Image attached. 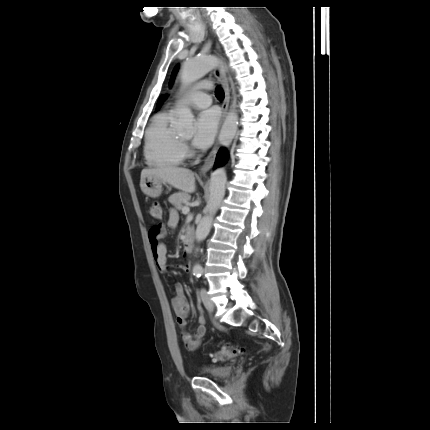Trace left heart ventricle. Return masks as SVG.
I'll use <instances>...</instances> for the list:
<instances>
[{"label": "left heart ventricle", "mask_w": 430, "mask_h": 430, "mask_svg": "<svg viewBox=\"0 0 430 430\" xmlns=\"http://www.w3.org/2000/svg\"><path fill=\"white\" fill-rule=\"evenodd\" d=\"M183 138H184V139H187V138H189V136H188V135H185V136H183Z\"/></svg>", "instance_id": "1"}]
</instances>
